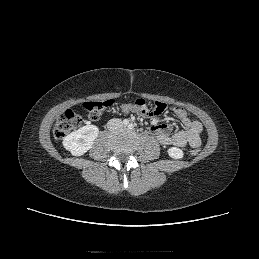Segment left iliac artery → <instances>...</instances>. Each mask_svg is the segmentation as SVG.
Instances as JSON below:
<instances>
[{
	"mask_svg": "<svg viewBox=\"0 0 259 259\" xmlns=\"http://www.w3.org/2000/svg\"><path fill=\"white\" fill-rule=\"evenodd\" d=\"M128 128H129V129H133V128H134V125L131 123V124H129Z\"/></svg>",
	"mask_w": 259,
	"mask_h": 259,
	"instance_id": "obj_1",
	"label": "left iliac artery"
}]
</instances>
